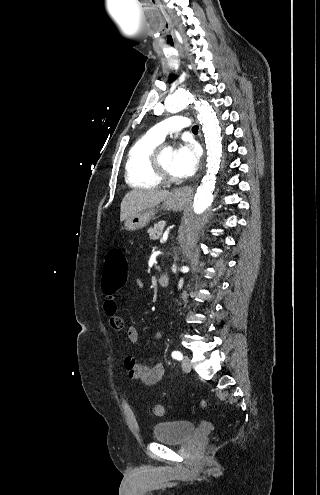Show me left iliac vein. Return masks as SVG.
I'll return each instance as SVG.
<instances>
[{
	"instance_id": "1",
	"label": "left iliac vein",
	"mask_w": 320,
	"mask_h": 495,
	"mask_svg": "<svg viewBox=\"0 0 320 495\" xmlns=\"http://www.w3.org/2000/svg\"><path fill=\"white\" fill-rule=\"evenodd\" d=\"M181 367H182L183 371L186 373H189L191 371V362H190V358L188 356L183 357Z\"/></svg>"
}]
</instances>
